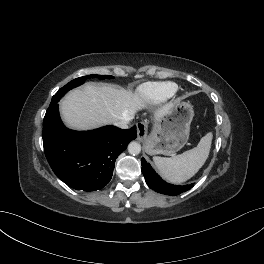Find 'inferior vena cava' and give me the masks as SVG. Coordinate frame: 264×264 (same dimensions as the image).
I'll list each match as a JSON object with an SVG mask.
<instances>
[{
    "label": "inferior vena cava",
    "mask_w": 264,
    "mask_h": 264,
    "mask_svg": "<svg viewBox=\"0 0 264 264\" xmlns=\"http://www.w3.org/2000/svg\"><path fill=\"white\" fill-rule=\"evenodd\" d=\"M132 118H127V119H124V120H121V121H118L115 123V125L119 128H122V129H127L129 127V122L131 121Z\"/></svg>",
    "instance_id": "inferior-vena-cava-1"
}]
</instances>
